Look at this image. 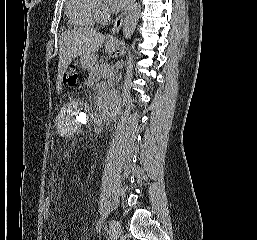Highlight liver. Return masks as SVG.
<instances>
[{
  "instance_id": "1",
  "label": "liver",
  "mask_w": 257,
  "mask_h": 240,
  "mask_svg": "<svg viewBox=\"0 0 257 240\" xmlns=\"http://www.w3.org/2000/svg\"><path fill=\"white\" fill-rule=\"evenodd\" d=\"M104 41L105 36L93 28H80L63 33L59 39L58 84L76 57L95 56Z\"/></svg>"
}]
</instances>
